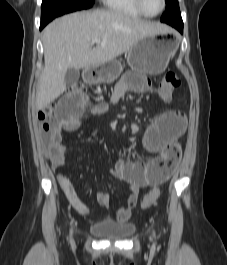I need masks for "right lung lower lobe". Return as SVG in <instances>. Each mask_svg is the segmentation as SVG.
<instances>
[{
  "instance_id": "obj_1",
  "label": "right lung lower lobe",
  "mask_w": 227,
  "mask_h": 265,
  "mask_svg": "<svg viewBox=\"0 0 227 265\" xmlns=\"http://www.w3.org/2000/svg\"><path fill=\"white\" fill-rule=\"evenodd\" d=\"M43 27H44V26H42V25L40 26L41 29H42Z\"/></svg>"
}]
</instances>
